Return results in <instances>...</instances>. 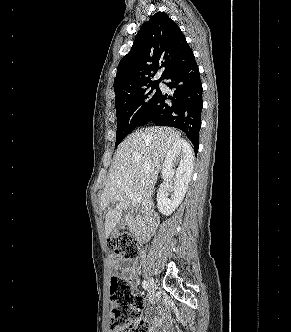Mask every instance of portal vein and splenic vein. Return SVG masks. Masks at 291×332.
I'll return each instance as SVG.
<instances>
[{"mask_svg":"<svg viewBox=\"0 0 291 332\" xmlns=\"http://www.w3.org/2000/svg\"><path fill=\"white\" fill-rule=\"evenodd\" d=\"M126 194L134 203H139L142 200V196L139 193H132L127 187H126Z\"/></svg>","mask_w":291,"mask_h":332,"instance_id":"1","label":"portal vein and splenic vein"}]
</instances>
